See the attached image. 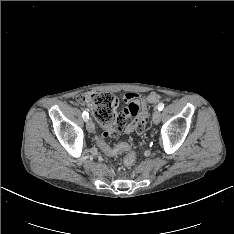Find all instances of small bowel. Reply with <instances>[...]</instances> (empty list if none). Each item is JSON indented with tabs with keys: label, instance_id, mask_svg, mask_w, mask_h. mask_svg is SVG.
<instances>
[{
	"label": "small bowel",
	"instance_id": "c3829d8e",
	"mask_svg": "<svg viewBox=\"0 0 234 234\" xmlns=\"http://www.w3.org/2000/svg\"><path fill=\"white\" fill-rule=\"evenodd\" d=\"M124 101L127 105L121 114L125 119H132L126 126L124 125L125 132L131 134L135 131L137 135L143 136L147 131L146 124L149 120V116L146 114L145 100L137 93L128 92L124 96ZM102 125L104 132L106 124L102 123ZM116 130L119 129L116 127Z\"/></svg>",
	"mask_w": 234,
	"mask_h": 234
}]
</instances>
